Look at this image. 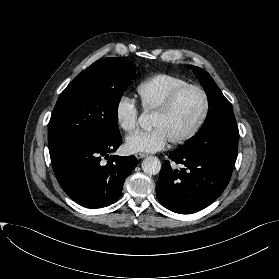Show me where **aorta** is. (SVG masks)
I'll return each mask as SVG.
<instances>
[{"label": "aorta", "mask_w": 279, "mask_h": 279, "mask_svg": "<svg viewBox=\"0 0 279 279\" xmlns=\"http://www.w3.org/2000/svg\"><path fill=\"white\" fill-rule=\"evenodd\" d=\"M138 123L141 126V128H143L144 130H150L151 129V120H150V116L147 112H143L139 116ZM142 169L146 174L156 175L161 170V162L155 156L146 157L142 161Z\"/></svg>", "instance_id": "obj_1"}]
</instances>
